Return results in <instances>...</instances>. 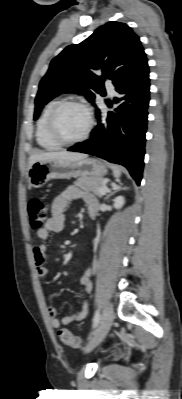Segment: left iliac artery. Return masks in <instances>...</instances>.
<instances>
[{"label": "left iliac artery", "instance_id": "44dca946", "mask_svg": "<svg viewBox=\"0 0 182 399\" xmlns=\"http://www.w3.org/2000/svg\"><path fill=\"white\" fill-rule=\"evenodd\" d=\"M100 321V312L99 310H96L93 318V327H96L99 324Z\"/></svg>", "mask_w": 182, "mask_h": 399}]
</instances>
